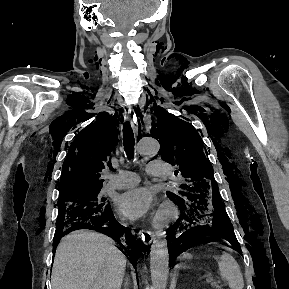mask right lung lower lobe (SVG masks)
Segmentation results:
<instances>
[{"instance_id":"obj_1","label":"right lung lower lobe","mask_w":289,"mask_h":289,"mask_svg":"<svg viewBox=\"0 0 289 289\" xmlns=\"http://www.w3.org/2000/svg\"><path fill=\"white\" fill-rule=\"evenodd\" d=\"M78 229L95 230L111 237L122 247L120 250L128 256L129 261L134 267L136 266L140 252L144 250L137 232H131L129 229L121 226L115 219L111 208H109L103 214L80 218L62 234H56L53 241L54 254L59 240L67 233Z\"/></svg>"}]
</instances>
